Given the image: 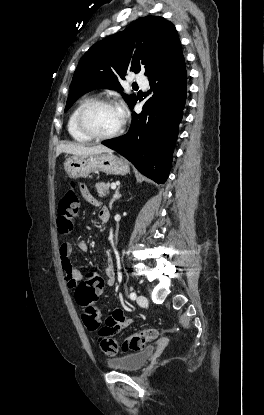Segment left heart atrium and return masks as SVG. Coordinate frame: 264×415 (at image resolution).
Masks as SVG:
<instances>
[{
	"instance_id": "left-heart-atrium-1",
	"label": "left heart atrium",
	"mask_w": 264,
	"mask_h": 415,
	"mask_svg": "<svg viewBox=\"0 0 264 415\" xmlns=\"http://www.w3.org/2000/svg\"><path fill=\"white\" fill-rule=\"evenodd\" d=\"M118 109H119L121 115L124 116V114H125V108H124V106H120V107H118Z\"/></svg>"
}]
</instances>
